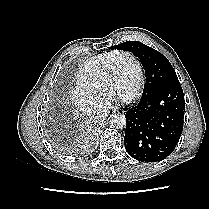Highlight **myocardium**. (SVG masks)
Segmentation results:
<instances>
[{
    "instance_id": "1",
    "label": "myocardium",
    "mask_w": 209,
    "mask_h": 209,
    "mask_svg": "<svg viewBox=\"0 0 209 209\" xmlns=\"http://www.w3.org/2000/svg\"><path fill=\"white\" fill-rule=\"evenodd\" d=\"M119 57H128L130 58L133 63L135 64L136 70H137V80L136 83L134 85V88L131 92V94L125 98L120 100V102L122 103H130L133 100L136 99V97L138 96L141 87H142V83H143V70H142V66L139 62V60L137 59V57L128 51H116L115 55L111 58V60L109 61L105 71H104V75H103V80H102V93L105 96H108V86L110 83V79H111V74L114 68V64L117 58Z\"/></svg>"
}]
</instances>
